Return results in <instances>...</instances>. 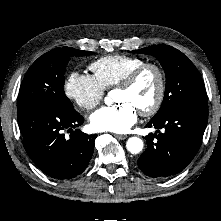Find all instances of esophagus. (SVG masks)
I'll return each mask as SVG.
<instances>
[{"label":"esophagus","mask_w":221,"mask_h":221,"mask_svg":"<svg viewBox=\"0 0 221 221\" xmlns=\"http://www.w3.org/2000/svg\"><path fill=\"white\" fill-rule=\"evenodd\" d=\"M115 137H117L118 139L124 140V139H126L128 136H127V135H119V134H116Z\"/></svg>","instance_id":"34e87169"}]
</instances>
